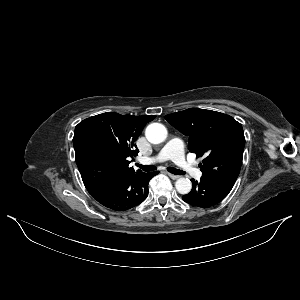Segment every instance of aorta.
I'll return each mask as SVG.
<instances>
[{
  "label": "aorta",
  "instance_id": "aorta-1",
  "mask_svg": "<svg viewBox=\"0 0 300 300\" xmlns=\"http://www.w3.org/2000/svg\"><path fill=\"white\" fill-rule=\"evenodd\" d=\"M145 136L150 143L159 144L166 140L167 129L160 123H152L147 126ZM175 187L180 194H188L192 189V183L188 178L182 177L175 182Z\"/></svg>",
  "mask_w": 300,
  "mask_h": 300
}]
</instances>
